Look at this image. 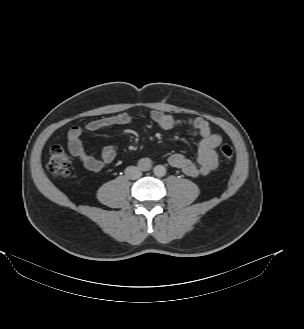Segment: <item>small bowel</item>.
Returning a JSON list of instances; mask_svg holds the SVG:
<instances>
[{"label":"small bowel","mask_w":304,"mask_h":329,"mask_svg":"<svg viewBox=\"0 0 304 329\" xmlns=\"http://www.w3.org/2000/svg\"><path fill=\"white\" fill-rule=\"evenodd\" d=\"M150 117L155 124L163 129L188 128L198 140L196 161L182 154H172L168 161L173 168L181 170L187 176L196 178L206 176L218 167L219 160L216 149L222 143V137L211 132L209 123L205 119L201 117L175 118L158 110L152 111ZM131 123L132 117L127 113H121L92 120L84 128L74 126L68 133L69 150L87 170L99 172L113 162L117 154V147L113 145L105 147L100 158H96L84 146L81 139L83 130L101 131L111 126ZM141 165H144V162H141Z\"/></svg>","instance_id":"obj_1"}]
</instances>
